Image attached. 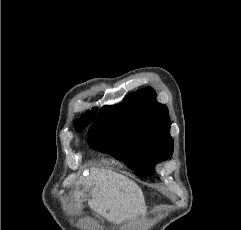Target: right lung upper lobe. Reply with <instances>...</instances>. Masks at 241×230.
<instances>
[{"instance_id":"right-lung-upper-lobe-1","label":"right lung upper lobe","mask_w":241,"mask_h":230,"mask_svg":"<svg viewBox=\"0 0 241 230\" xmlns=\"http://www.w3.org/2000/svg\"><path fill=\"white\" fill-rule=\"evenodd\" d=\"M97 108H93L90 111H87L84 115H82L79 119H76L74 121V126L77 131H81L84 129L85 126H87L89 123H91L97 114Z\"/></svg>"}]
</instances>
